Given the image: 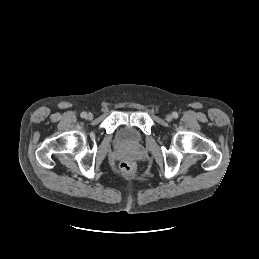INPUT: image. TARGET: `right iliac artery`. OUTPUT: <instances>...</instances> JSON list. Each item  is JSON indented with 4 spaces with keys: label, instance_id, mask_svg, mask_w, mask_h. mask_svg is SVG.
<instances>
[{
    "label": "right iliac artery",
    "instance_id": "1",
    "mask_svg": "<svg viewBox=\"0 0 259 259\" xmlns=\"http://www.w3.org/2000/svg\"><path fill=\"white\" fill-rule=\"evenodd\" d=\"M86 116H87V113H86V112H82V113H81V117H82V118H85Z\"/></svg>",
    "mask_w": 259,
    "mask_h": 259
}]
</instances>
